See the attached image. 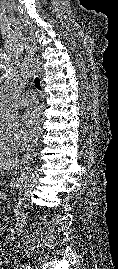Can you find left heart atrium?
Wrapping results in <instances>:
<instances>
[{
  "mask_svg": "<svg viewBox=\"0 0 118 269\" xmlns=\"http://www.w3.org/2000/svg\"><path fill=\"white\" fill-rule=\"evenodd\" d=\"M23 120L29 133L32 136H36L44 122L43 107L38 103L30 105L24 112Z\"/></svg>",
  "mask_w": 118,
  "mask_h": 269,
  "instance_id": "obj_1",
  "label": "left heart atrium"
}]
</instances>
